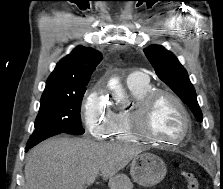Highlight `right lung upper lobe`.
<instances>
[{
    "mask_svg": "<svg viewBox=\"0 0 223 189\" xmlns=\"http://www.w3.org/2000/svg\"><path fill=\"white\" fill-rule=\"evenodd\" d=\"M101 60L99 51L78 46L56 65L47 79L43 94L69 93L86 88Z\"/></svg>",
    "mask_w": 223,
    "mask_h": 189,
    "instance_id": "right-lung-upper-lobe-1",
    "label": "right lung upper lobe"
}]
</instances>
